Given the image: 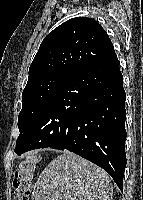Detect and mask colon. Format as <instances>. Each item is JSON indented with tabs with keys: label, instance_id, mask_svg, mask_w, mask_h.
Instances as JSON below:
<instances>
[{
	"label": "colon",
	"instance_id": "obj_1",
	"mask_svg": "<svg viewBox=\"0 0 143 200\" xmlns=\"http://www.w3.org/2000/svg\"><path fill=\"white\" fill-rule=\"evenodd\" d=\"M38 162L39 157L37 155H30L16 169L13 178L14 200L29 199L32 177Z\"/></svg>",
	"mask_w": 143,
	"mask_h": 200
}]
</instances>
